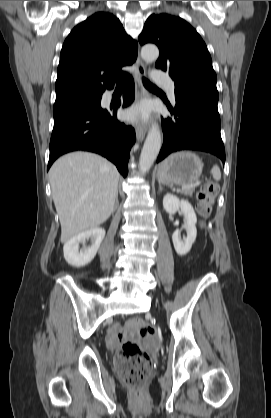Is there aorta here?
Returning <instances> with one entry per match:
<instances>
[{"instance_id": "aorta-1", "label": "aorta", "mask_w": 271, "mask_h": 418, "mask_svg": "<svg viewBox=\"0 0 271 418\" xmlns=\"http://www.w3.org/2000/svg\"><path fill=\"white\" fill-rule=\"evenodd\" d=\"M141 57L146 63H152L159 57V50L155 45H145L141 49ZM161 133L159 126L153 123L149 129L139 159V170L146 173L150 170L161 149Z\"/></svg>"}]
</instances>
